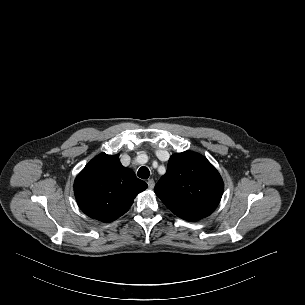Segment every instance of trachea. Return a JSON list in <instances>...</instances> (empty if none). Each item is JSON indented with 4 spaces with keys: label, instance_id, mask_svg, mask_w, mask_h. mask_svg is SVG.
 Listing matches in <instances>:
<instances>
[{
    "label": "trachea",
    "instance_id": "1",
    "mask_svg": "<svg viewBox=\"0 0 305 305\" xmlns=\"http://www.w3.org/2000/svg\"><path fill=\"white\" fill-rule=\"evenodd\" d=\"M138 177L139 178H142V179H148L149 176H150V171L147 167H141L139 170H138V173H137Z\"/></svg>",
    "mask_w": 305,
    "mask_h": 305
}]
</instances>
